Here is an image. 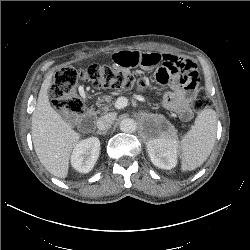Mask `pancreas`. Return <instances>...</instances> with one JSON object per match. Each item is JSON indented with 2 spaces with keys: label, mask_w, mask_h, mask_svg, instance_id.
<instances>
[{
  "label": "pancreas",
  "mask_w": 250,
  "mask_h": 250,
  "mask_svg": "<svg viewBox=\"0 0 250 250\" xmlns=\"http://www.w3.org/2000/svg\"><path fill=\"white\" fill-rule=\"evenodd\" d=\"M112 103H113V97L109 95H104L101 99L97 101L96 105L97 107H99L100 110L108 111L109 108L112 106ZM156 108H158V106L155 107V109Z\"/></svg>",
  "instance_id": "1"
}]
</instances>
